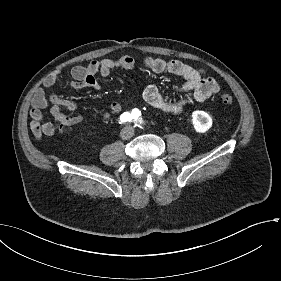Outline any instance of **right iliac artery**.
Wrapping results in <instances>:
<instances>
[{"mask_svg":"<svg viewBox=\"0 0 281 281\" xmlns=\"http://www.w3.org/2000/svg\"><path fill=\"white\" fill-rule=\"evenodd\" d=\"M132 120V116L130 113L128 112H125L123 114H121L120 118H119V123L120 124H123V123H126L128 121Z\"/></svg>","mask_w":281,"mask_h":281,"instance_id":"right-iliac-artery-1","label":"right iliac artery"}]
</instances>
